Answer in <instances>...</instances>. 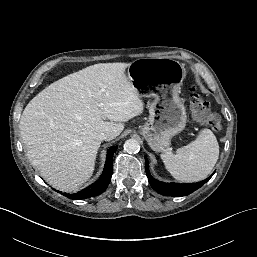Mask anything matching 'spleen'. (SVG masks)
Instances as JSON below:
<instances>
[{
    "instance_id": "obj_1",
    "label": "spleen",
    "mask_w": 257,
    "mask_h": 257,
    "mask_svg": "<svg viewBox=\"0 0 257 257\" xmlns=\"http://www.w3.org/2000/svg\"><path fill=\"white\" fill-rule=\"evenodd\" d=\"M160 157L175 179L197 182L211 173L219 157V145L213 132L205 128L194 141L179 148L176 153L165 151Z\"/></svg>"
}]
</instances>
